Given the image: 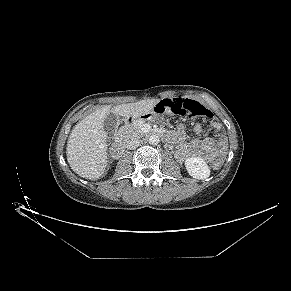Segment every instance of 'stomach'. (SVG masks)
Instances as JSON below:
<instances>
[{"mask_svg":"<svg viewBox=\"0 0 291 291\" xmlns=\"http://www.w3.org/2000/svg\"><path fill=\"white\" fill-rule=\"evenodd\" d=\"M142 116H144L148 120H152V121L159 119V116L157 114H155L154 112H148V113H146V114H144Z\"/></svg>","mask_w":291,"mask_h":291,"instance_id":"obj_1","label":"stomach"}]
</instances>
